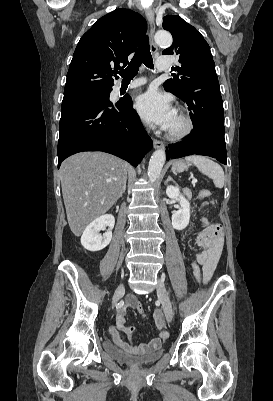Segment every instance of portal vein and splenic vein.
<instances>
[{"instance_id": "1", "label": "portal vein and splenic vein", "mask_w": 273, "mask_h": 401, "mask_svg": "<svg viewBox=\"0 0 273 401\" xmlns=\"http://www.w3.org/2000/svg\"><path fill=\"white\" fill-rule=\"evenodd\" d=\"M192 184L196 185L197 184V178H192Z\"/></svg>"}]
</instances>
